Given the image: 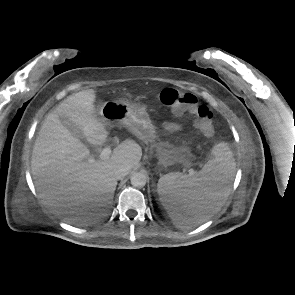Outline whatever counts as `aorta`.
Here are the masks:
<instances>
[{
	"label": "aorta",
	"instance_id": "762f6f07",
	"mask_svg": "<svg viewBox=\"0 0 295 295\" xmlns=\"http://www.w3.org/2000/svg\"><path fill=\"white\" fill-rule=\"evenodd\" d=\"M130 181L133 187L141 188L147 182V175L143 172H136L131 176Z\"/></svg>",
	"mask_w": 295,
	"mask_h": 295
}]
</instances>
